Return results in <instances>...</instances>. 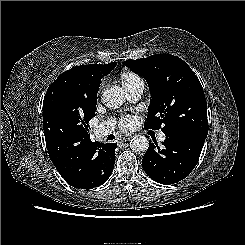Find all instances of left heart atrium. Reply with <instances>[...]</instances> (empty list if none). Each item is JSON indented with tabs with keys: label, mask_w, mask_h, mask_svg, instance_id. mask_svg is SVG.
I'll return each instance as SVG.
<instances>
[{
	"label": "left heart atrium",
	"mask_w": 245,
	"mask_h": 245,
	"mask_svg": "<svg viewBox=\"0 0 245 245\" xmlns=\"http://www.w3.org/2000/svg\"><path fill=\"white\" fill-rule=\"evenodd\" d=\"M132 124V119L130 117H123L121 120H120V126L123 128V129H127L131 126Z\"/></svg>",
	"instance_id": "39dd6f15"
}]
</instances>
